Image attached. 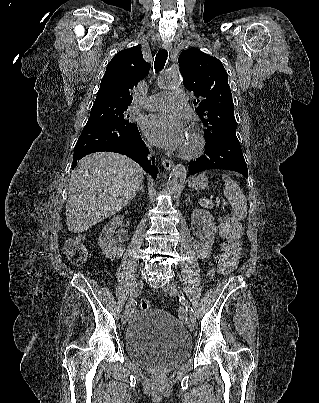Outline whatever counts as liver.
Listing matches in <instances>:
<instances>
[{"instance_id": "obj_1", "label": "liver", "mask_w": 319, "mask_h": 403, "mask_svg": "<svg viewBox=\"0 0 319 403\" xmlns=\"http://www.w3.org/2000/svg\"><path fill=\"white\" fill-rule=\"evenodd\" d=\"M143 178V169L124 155L99 152L84 157L69 181L68 230L84 232L119 212L135 197Z\"/></svg>"}]
</instances>
